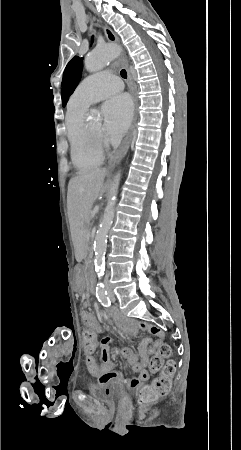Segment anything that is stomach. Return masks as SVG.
<instances>
[{"label":"stomach","instance_id":"obj_1","mask_svg":"<svg viewBox=\"0 0 241 450\" xmlns=\"http://www.w3.org/2000/svg\"><path fill=\"white\" fill-rule=\"evenodd\" d=\"M72 280H73V283H74L75 287L78 290L83 289L84 284H85V277H84L83 271H82V269H81V267L79 265L76 266V268L74 270V274H73Z\"/></svg>","mask_w":241,"mask_h":450}]
</instances>
